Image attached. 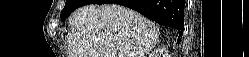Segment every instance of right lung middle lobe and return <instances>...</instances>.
Returning a JSON list of instances; mask_svg holds the SVG:
<instances>
[{"mask_svg":"<svg viewBox=\"0 0 249 57\" xmlns=\"http://www.w3.org/2000/svg\"><path fill=\"white\" fill-rule=\"evenodd\" d=\"M92 0H66L65 7L60 15L64 21L78 7L90 4Z\"/></svg>","mask_w":249,"mask_h":57,"instance_id":"right-lung-middle-lobe-1","label":"right lung middle lobe"}]
</instances>
